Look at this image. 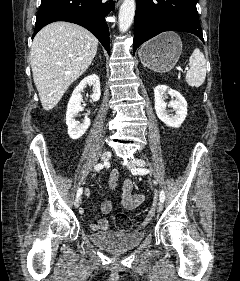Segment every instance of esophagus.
Returning a JSON list of instances; mask_svg holds the SVG:
<instances>
[{
	"instance_id": "obj_1",
	"label": "esophagus",
	"mask_w": 240,
	"mask_h": 281,
	"mask_svg": "<svg viewBox=\"0 0 240 281\" xmlns=\"http://www.w3.org/2000/svg\"><path fill=\"white\" fill-rule=\"evenodd\" d=\"M122 0H115V5L116 7H119L121 4Z\"/></svg>"
}]
</instances>
